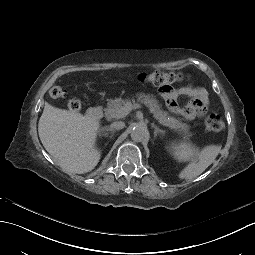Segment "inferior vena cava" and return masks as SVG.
I'll return each instance as SVG.
<instances>
[{"instance_id": "inferior-vena-cava-1", "label": "inferior vena cava", "mask_w": 255, "mask_h": 255, "mask_svg": "<svg viewBox=\"0 0 255 255\" xmlns=\"http://www.w3.org/2000/svg\"><path fill=\"white\" fill-rule=\"evenodd\" d=\"M125 127V123L122 121L113 122L111 128L114 130H121Z\"/></svg>"}]
</instances>
